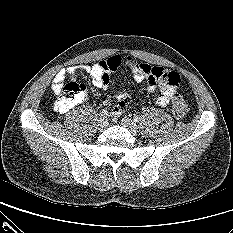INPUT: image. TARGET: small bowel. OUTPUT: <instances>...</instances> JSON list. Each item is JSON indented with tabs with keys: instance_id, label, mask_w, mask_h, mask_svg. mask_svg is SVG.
I'll return each mask as SVG.
<instances>
[{
	"instance_id": "c3829d8e",
	"label": "small bowel",
	"mask_w": 233,
	"mask_h": 233,
	"mask_svg": "<svg viewBox=\"0 0 233 233\" xmlns=\"http://www.w3.org/2000/svg\"><path fill=\"white\" fill-rule=\"evenodd\" d=\"M121 66H125L131 70L135 81H146L150 94L159 90V95L155 100L157 106H167L178 89L180 77L177 72L165 70L159 66H150L144 62L136 61L131 56L122 55H114L102 59L93 65L62 68L54 76L51 87L55 94H59L66 79H74L76 72L79 70L90 76L91 82L95 87L106 89L109 86L112 72ZM116 98L118 103L112 107V114L115 117H119L131 107L133 98L129 93L124 91L118 92Z\"/></svg>"
}]
</instances>
